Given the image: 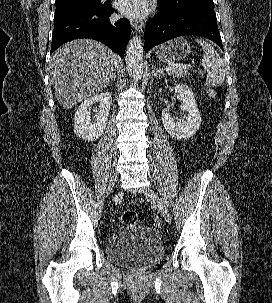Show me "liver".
I'll list each match as a JSON object with an SVG mask.
<instances>
[{"label": "liver", "mask_w": 272, "mask_h": 303, "mask_svg": "<svg viewBox=\"0 0 272 303\" xmlns=\"http://www.w3.org/2000/svg\"><path fill=\"white\" fill-rule=\"evenodd\" d=\"M118 56L92 39L65 43L49 62L52 85L58 103L70 109L106 88L116 72Z\"/></svg>", "instance_id": "1"}]
</instances>
